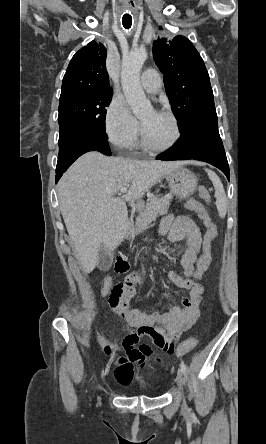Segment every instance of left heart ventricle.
<instances>
[{
    "mask_svg": "<svg viewBox=\"0 0 266 444\" xmlns=\"http://www.w3.org/2000/svg\"><path fill=\"white\" fill-rule=\"evenodd\" d=\"M140 120L154 145L164 147L173 139L175 130L169 117L150 110Z\"/></svg>",
    "mask_w": 266,
    "mask_h": 444,
    "instance_id": "left-heart-ventricle-1",
    "label": "left heart ventricle"
}]
</instances>
